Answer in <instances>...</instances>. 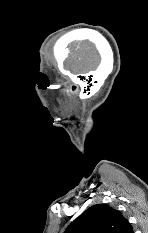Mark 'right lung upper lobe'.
<instances>
[{"label": "right lung upper lobe", "mask_w": 148, "mask_h": 233, "mask_svg": "<svg viewBox=\"0 0 148 233\" xmlns=\"http://www.w3.org/2000/svg\"><path fill=\"white\" fill-rule=\"evenodd\" d=\"M64 233H134L123 215L107 204H97L84 211Z\"/></svg>", "instance_id": "1"}]
</instances>
